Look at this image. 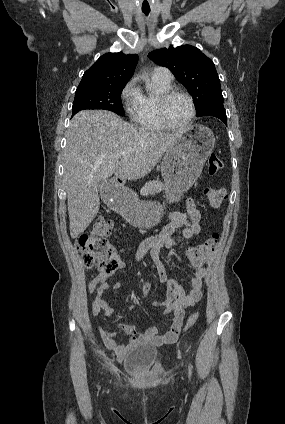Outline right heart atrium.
<instances>
[{"label":"right heart atrium","instance_id":"d8ad5b80","mask_svg":"<svg viewBox=\"0 0 285 424\" xmlns=\"http://www.w3.org/2000/svg\"><path fill=\"white\" fill-rule=\"evenodd\" d=\"M121 100L124 110L134 119L139 110L141 91L137 85V79H130L121 91Z\"/></svg>","mask_w":285,"mask_h":424}]
</instances>
